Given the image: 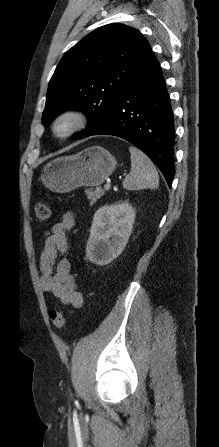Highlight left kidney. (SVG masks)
<instances>
[{
  "label": "left kidney",
  "mask_w": 219,
  "mask_h": 447,
  "mask_svg": "<svg viewBox=\"0 0 219 447\" xmlns=\"http://www.w3.org/2000/svg\"><path fill=\"white\" fill-rule=\"evenodd\" d=\"M135 216L128 202L99 208L94 214L86 245L89 261L104 266L117 258L128 242Z\"/></svg>",
  "instance_id": "obj_1"
}]
</instances>
